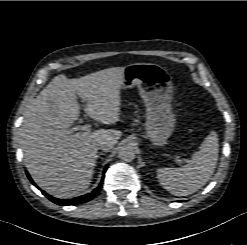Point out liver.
I'll list each match as a JSON object with an SVG mask.
<instances>
[{"mask_svg": "<svg viewBox=\"0 0 247 245\" xmlns=\"http://www.w3.org/2000/svg\"><path fill=\"white\" fill-rule=\"evenodd\" d=\"M123 72V67H113L76 79L58 75L25 112L20 128L24 164L48 194L72 198L84 192L94 174L99 144L110 142L113 148L118 142L121 131L73 133L68 128L80 114L76 93L94 120L107 125L119 121Z\"/></svg>", "mask_w": 247, "mask_h": 245, "instance_id": "liver-1", "label": "liver"}]
</instances>
